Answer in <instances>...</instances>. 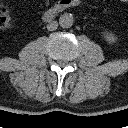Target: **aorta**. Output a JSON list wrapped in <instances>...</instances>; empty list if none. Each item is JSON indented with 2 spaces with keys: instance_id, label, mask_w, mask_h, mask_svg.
<instances>
[{
  "instance_id": "1",
  "label": "aorta",
  "mask_w": 128,
  "mask_h": 128,
  "mask_svg": "<svg viewBox=\"0 0 128 128\" xmlns=\"http://www.w3.org/2000/svg\"><path fill=\"white\" fill-rule=\"evenodd\" d=\"M74 18L71 13H64L59 18V24L62 28H70L73 25Z\"/></svg>"
}]
</instances>
